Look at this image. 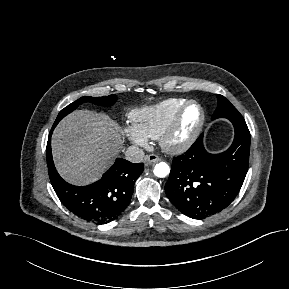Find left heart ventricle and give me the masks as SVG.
Listing matches in <instances>:
<instances>
[{
  "mask_svg": "<svg viewBox=\"0 0 289 289\" xmlns=\"http://www.w3.org/2000/svg\"><path fill=\"white\" fill-rule=\"evenodd\" d=\"M199 115L200 112L196 106L193 105L188 108L184 116V121L182 129L179 133V137H185L193 129L199 119Z\"/></svg>",
  "mask_w": 289,
  "mask_h": 289,
  "instance_id": "b2bd125f",
  "label": "left heart ventricle"
}]
</instances>
